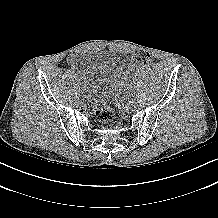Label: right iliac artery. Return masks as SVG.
<instances>
[{"instance_id":"right-iliac-artery-1","label":"right iliac artery","mask_w":218,"mask_h":218,"mask_svg":"<svg viewBox=\"0 0 218 218\" xmlns=\"http://www.w3.org/2000/svg\"><path fill=\"white\" fill-rule=\"evenodd\" d=\"M79 84H82V86L87 88V83H84V79H79Z\"/></svg>"}]
</instances>
